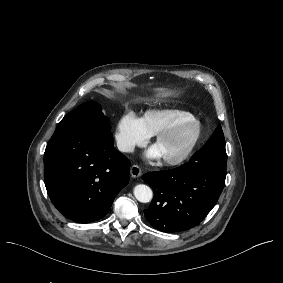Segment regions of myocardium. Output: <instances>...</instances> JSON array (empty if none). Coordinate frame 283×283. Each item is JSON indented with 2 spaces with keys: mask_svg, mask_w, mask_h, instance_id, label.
Here are the masks:
<instances>
[{
  "mask_svg": "<svg viewBox=\"0 0 283 283\" xmlns=\"http://www.w3.org/2000/svg\"><path fill=\"white\" fill-rule=\"evenodd\" d=\"M187 124L192 125V135L185 148V150L176 158H164V163L168 166H179L186 162L195 152L201 136H202V125L201 122L193 117H184L176 121L172 126L158 133L156 137L157 143L172 139L177 133Z\"/></svg>",
  "mask_w": 283,
  "mask_h": 283,
  "instance_id": "myocardium-1",
  "label": "myocardium"
}]
</instances>
